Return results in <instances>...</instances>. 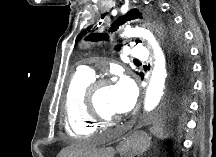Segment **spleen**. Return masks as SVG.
<instances>
[{
  "instance_id": "1",
  "label": "spleen",
  "mask_w": 216,
  "mask_h": 157,
  "mask_svg": "<svg viewBox=\"0 0 216 157\" xmlns=\"http://www.w3.org/2000/svg\"><path fill=\"white\" fill-rule=\"evenodd\" d=\"M151 132L158 139L163 140V139L167 138V135H166L165 131L162 128H160V127H157V126L156 127H152L151 128Z\"/></svg>"
}]
</instances>
